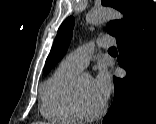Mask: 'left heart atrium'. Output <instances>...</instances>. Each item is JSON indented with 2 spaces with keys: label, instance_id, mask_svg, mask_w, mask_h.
I'll return each instance as SVG.
<instances>
[{
  "label": "left heart atrium",
  "instance_id": "left-heart-atrium-1",
  "mask_svg": "<svg viewBox=\"0 0 156 124\" xmlns=\"http://www.w3.org/2000/svg\"><path fill=\"white\" fill-rule=\"evenodd\" d=\"M93 87L103 102H106L111 93V78L105 68H100L96 77L92 79Z\"/></svg>",
  "mask_w": 156,
  "mask_h": 124
}]
</instances>
